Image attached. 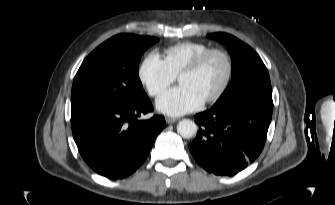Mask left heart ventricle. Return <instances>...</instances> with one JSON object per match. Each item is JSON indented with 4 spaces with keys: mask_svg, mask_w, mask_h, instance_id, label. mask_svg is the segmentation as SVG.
I'll use <instances>...</instances> for the list:
<instances>
[{
    "mask_svg": "<svg viewBox=\"0 0 335 205\" xmlns=\"http://www.w3.org/2000/svg\"><path fill=\"white\" fill-rule=\"evenodd\" d=\"M226 63L222 56H211L204 66L196 73L182 76L180 85L194 90L203 100L209 98L220 88L225 75Z\"/></svg>",
    "mask_w": 335,
    "mask_h": 205,
    "instance_id": "left-heart-ventricle-1",
    "label": "left heart ventricle"
}]
</instances>
